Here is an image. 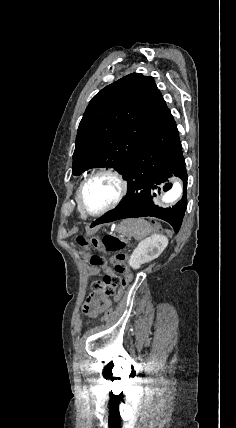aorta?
Returning a JSON list of instances; mask_svg holds the SVG:
<instances>
[{
	"label": "aorta",
	"mask_w": 236,
	"mask_h": 428,
	"mask_svg": "<svg viewBox=\"0 0 236 428\" xmlns=\"http://www.w3.org/2000/svg\"><path fill=\"white\" fill-rule=\"evenodd\" d=\"M182 192L183 188L181 183L179 181H175L171 190H169L163 195L162 201L165 203H172L182 195Z\"/></svg>",
	"instance_id": "aorta-1"
}]
</instances>
